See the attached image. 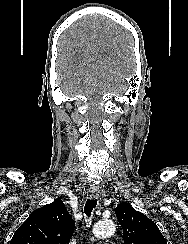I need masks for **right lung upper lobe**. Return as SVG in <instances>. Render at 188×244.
<instances>
[{"label":"right lung upper lobe","instance_id":"obj_1","mask_svg":"<svg viewBox=\"0 0 188 244\" xmlns=\"http://www.w3.org/2000/svg\"><path fill=\"white\" fill-rule=\"evenodd\" d=\"M75 223L61 199L32 212L16 230L10 244H67Z\"/></svg>","mask_w":188,"mask_h":244}]
</instances>
